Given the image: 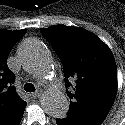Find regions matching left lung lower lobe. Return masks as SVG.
Segmentation results:
<instances>
[{
  "label": "left lung lower lobe",
  "mask_w": 125,
  "mask_h": 125,
  "mask_svg": "<svg viewBox=\"0 0 125 125\" xmlns=\"http://www.w3.org/2000/svg\"><path fill=\"white\" fill-rule=\"evenodd\" d=\"M56 123L57 125H100L97 123H93V122H88L85 120H80L74 117H65V118H60V119H56Z\"/></svg>",
  "instance_id": "0a47b994"
}]
</instances>
